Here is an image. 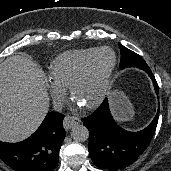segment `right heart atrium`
Segmentation results:
<instances>
[{"label": "right heart atrium", "instance_id": "1", "mask_svg": "<svg viewBox=\"0 0 171 171\" xmlns=\"http://www.w3.org/2000/svg\"><path fill=\"white\" fill-rule=\"evenodd\" d=\"M48 89L50 91L51 97L55 105L59 106L64 101L67 87L55 83L53 80H49Z\"/></svg>", "mask_w": 171, "mask_h": 171}]
</instances>
